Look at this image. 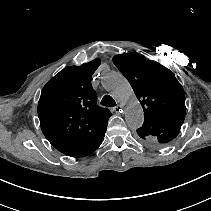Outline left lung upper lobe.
Wrapping results in <instances>:
<instances>
[{"mask_svg": "<svg viewBox=\"0 0 211 211\" xmlns=\"http://www.w3.org/2000/svg\"><path fill=\"white\" fill-rule=\"evenodd\" d=\"M113 62L130 82L144 111V123L137 129L141 141L161 148L180 132L185 119V93L175 75L141 54L117 55Z\"/></svg>", "mask_w": 211, "mask_h": 211, "instance_id": "1", "label": "left lung upper lobe"}]
</instances>
